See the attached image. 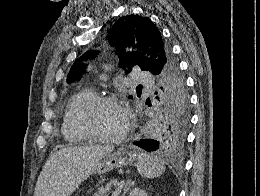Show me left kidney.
<instances>
[{
  "label": "left kidney",
  "instance_id": "left-kidney-1",
  "mask_svg": "<svg viewBox=\"0 0 260 196\" xmlns=\"http://www.w3.org/2000/svg\"><path fill=\"white\" fill-rule=\"evenodd\" d=\"M130 196H148V194L145 190H141V188H134V190H131Z\"/></svg>",
  "mask_w": 260,
  "mask_h": 196
}]
</instances>
